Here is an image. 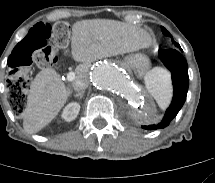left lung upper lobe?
Segmentation results:
<instances>
[{"mask_svg": "<svg viewBox=\"0 0 215 183\" xmlns=\"http://www.w3.org/2000/svg\"><path fill=\"white\" fill-rule=\"evenodd\" d=\"M161 29H162V33H163L164 35L170 36V37H171L170 33H169L164 27H161ZM172 42L175 44L176 47H178V48L181 49V47H180L179 44H177V43H176L175 41H173V40H172Z\"/></svg>", "mask_w": 215, "mask_h": 183, "instance_id": "obj_1", "label": "left lung upper lobe"}]
</instances>
